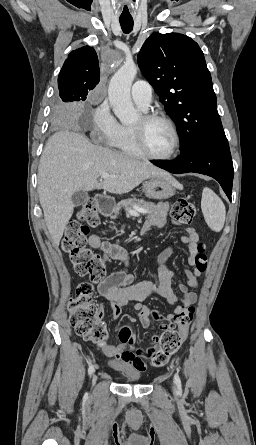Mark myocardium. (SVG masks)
<instances>
[{
	"instance_id": "obj_1",
	"label": "myocardium",
	"mask_w": 256,
	"mask_h": 445,
	"mask_svg": "<svg viewBox=\"0 0 256 445\" xmlns=\"http://www.w3.org/2000/svg\"><path fill=\"white\" fill-rule=\"evenodd\" d=\"M142 121H143V124H148V123L154 122V121H161V122L166 123L170 127V129L173 133L174 143H173L172 150L167 155H163V156L155 155L152 152H150V150L146 146L142 127H140V128L131 127V133H132L135 145H136L137 149L139 150V152L146 158H149L152 160H158V161L170 160L173 157H175L177 152L179 151V148H180V135H179L177 126L173 122V120H171L169 117L162 115V114L151 113V114H144L142 116Z\"/></svg>"
}]
</instances>
